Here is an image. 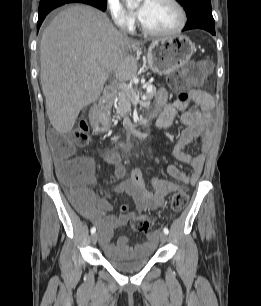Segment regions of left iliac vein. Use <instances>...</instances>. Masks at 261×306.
<instances>
[{"label": "left iliac vein", "instance_id": "4c4485c4", "mask_svg": "<svg viewBox=\"0 0 261 306\" xmlns=\"http://www.w3.org/2000/svg\"><path fill=\"white\" fill-rule=\"evenodd\" d=\"M160 241H161L162 243L167 242V241H168V236H167V234L161 233V234H160Z\"/></svg>", "mask_w": 261, "mask_h": 306}]
</instances>
